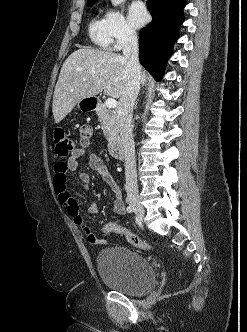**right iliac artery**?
Instances as JSON below:
<instances>
[{"label":"right iliac artery","mask_w":247,"mask_h":332,"mask_svg":"<svg viewBox=\"0 0 247 332\" xmlns=\"http://www.w3.org/2000/svg\"><path fill=\"white\" fill-rule=\"evenodd\" d=\"M126 210H127L128 213H132V212H133V210H132V208H131L130 206H128V207L126 208Z\"/></svg>","instance_id":"right-iliac-artery-1"}]
</instances>
